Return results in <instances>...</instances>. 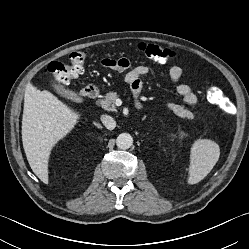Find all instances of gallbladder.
Masks as SVG:
<instances>
[{
  "label": "gallbladder",
  "mask_w": 249,
  "mask_h": 249,
  "mask_svg": "<svg viewBox=\"0 0 249 249\" xmlns=\"http://www.w3.org/2000/svg\"><path fill=\"white\" fill-rule=\"evenodd\" d=\"M53 88L57 94L74 102H81V98L72 90L65 88L59 83L53 82Z\"/></svg>",
  "instance_id": "1"
}]
</instances>
